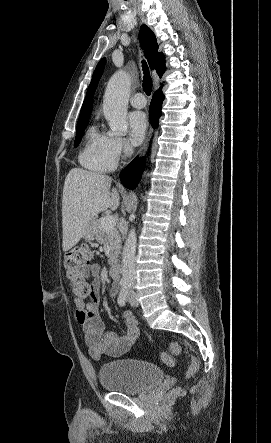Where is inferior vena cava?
Masks as SVG:
<instances>
[{
  "mask_svg": "<svg viewBox=\"0 0 271 443\" xmlns=\"http://www.w3.org/2000/svg\"><path fill=\"white\" fill-rule=\"evenodd\" d=\"M123 150H124V154H126V156H131V154H133V152H134V148H133V146H130V144H126V146H124ZM121 231H122V233H126V231H127L126 227H122Z\"/></svg>",
  "mask_w": 271,
  "mask_h": 443,
  "instance_id": "1",
  "label": "inferior vena cava"
}]
</instances>
